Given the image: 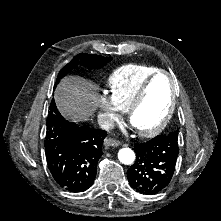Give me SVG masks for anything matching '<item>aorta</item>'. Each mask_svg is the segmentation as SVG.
<instances>
[{
    "label": "aorta",
    "mask_w": 221,
    "mask_h": 221,
    "mask_svg": "<svg viewBox=\"0 0 221 221\" xmlns=\"http://www.w3.org/2000/svg\"><path fill=\"white\" fill-rule=\"evenodd\" d=\"M118 159L121 163L125 165H130L135 160V153L130 148H122L118 152Z\"/></svg>",
    "instance_id": "762f6f07"
}]
</instances>
